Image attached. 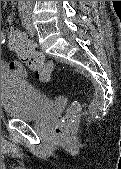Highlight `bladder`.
<instances>
[{
  "label": "bladder",
  "mask_w": 121,
  "mask_h": 169,
  "mask_svg": "<svg viewBox=\"0 0 121 169\" xmlns=\"http://www.w3.org/2000/svg\"><path fill=\"white\" fill-rule=\"evenodd\" d=\"M1 104L6 115L24 121L39 120L53 107L49 96L14 73L1 76Z\"/></svg>",
  "instance_id": "31cf9c89"
}]
</instances>
